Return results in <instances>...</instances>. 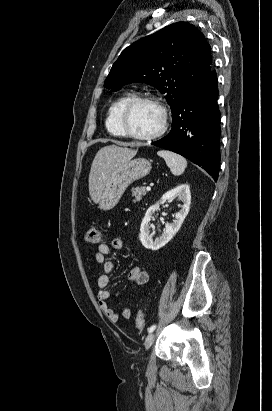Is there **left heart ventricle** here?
<instances>
[{
    "instance_id": "left-heart-ventricle-1",
    "label": "left heart ventricle",
    "mask_w": 272,
    "mask_h": 411,
    "mask_svg": "<svg viewBox=\"0 0 272 411\" xmlns=\"http://www.w3.org/2000/svg\"><path fill=\"white\" fill-rule=\"evenodd\" d=\"M126 122L131 132L138 135H149L159 128L161 114L156 106L141 102L130 109Z\"/></svg>"
}]
</instances>
